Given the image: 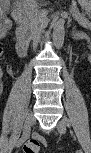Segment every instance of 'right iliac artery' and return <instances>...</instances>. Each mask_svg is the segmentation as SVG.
<instances>
[{
	"instance_id": "82829eb1",
	"label": "right iliac artery",
	"mask_w": 91,
	"mask_h": 153,
	"mask_svg": "<svg viewBox=\"0 0 91 153\" xmlns=\"http://www.w3.org/2000/svg\"><path fill=\"white\" fill-rule=\"evenodd\" d=\"M29 137L28 133H23L22 137L17 141L16 146L19 147Z\"/></svg>"
}]
</instances>
